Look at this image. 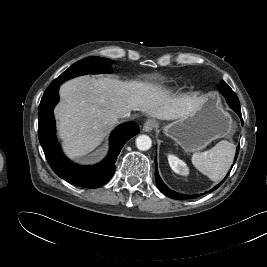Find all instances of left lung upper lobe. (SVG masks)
Segmentation results:
<instances>
[{"label": "left lung upper lobe", "mask_w": 267, "mask_h": 267, "mask_svg": "<svg viewBox=\"0 0 267 267\" xmlns=\"http://www.w3.org/2000/svg\"><path fill=\"white\" fill-rule=\"evenodd\" d=\"M229 86L224 82V81H221L220 85H219V89H222V88H225L227 89Z\"/></svg>", "instance_id": "obj_1"}]
</instances>
